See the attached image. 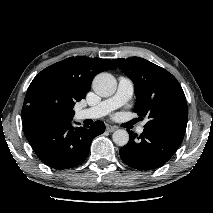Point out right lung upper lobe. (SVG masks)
Segmentation results:
<instances>
[{"mask_svg":"<svg viewBox=\"0 0 213 213\" xmlns=\"http://www.w3.org/2000/svg\"><path fill=\"white\" fill-rule=\"evenodd\" d=\"M111 69L116 66L109 59L89 57H70L45 68L27 90L21 117L38 120L32 114V107L38 99L48 97L55 99L57 109L44 122H70L75 102L85 98L95 75Z\"/></svg>","mask_w":213,"mask_h":213,"instance_id":"obj_1","label":"right lung upper lobe"}]
</instances>
